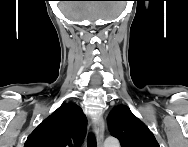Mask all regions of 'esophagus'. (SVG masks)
Returning <instances> with one entry per match:
<instances>
[{
  "instance_id": "34e87169",
  "label": "esophagus",
  "mask_w": 188,
  "mask_h": 147,
  "mask_svg": "<svg viewBox=\"0 0 188 147\" xmlns=\"http://www.w3.org/2000/svg\"><path fill=\"white\" fill-rule=\"evenodd\" d=\"M92 125L94 132L96 134L98 147H102L104 140V129H105L103 118L101 116L95 117L92 121Z\"/></svg>"
}]
</instances>
